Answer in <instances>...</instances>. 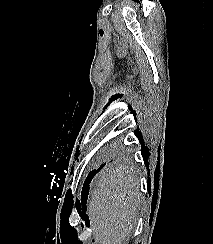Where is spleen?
Returning a JSON list of instances; mask_svg holds the SVG:
<instances>
[{"mask_svg":"<svg viewBox=\"0 0 213 244\" xmlns=\"http://www.w3.org/2000/svg\"><path fill=\"white\" fill-rule=\"evenodd\" d=\"M140 184L126 168L102 172L89 203L93 236L100 244H122L131 234L140 205Z\"/></svg>","mask_w":213,"mask_h":244,"instance_id":"spleen-1","label":"spleen"}]
</instances>
